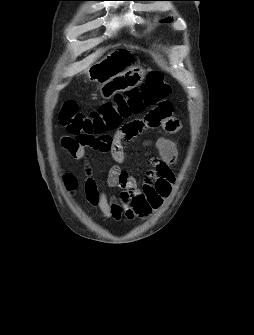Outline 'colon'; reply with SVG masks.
Returning <instances> with one entry per match:
<instances>
[{
  "label": "colon",
  "mask_w": 254,
  "mask_h": 335,
  "mask_svg": "<svg viewBox=\"0 0 254 335\" xmlns=\"http://www.w3.org/2000/svg\"><path fill=\"white\" fill-rule=\"evenodd\" d=\"M170 93L171 87L164 75L152 71L140 86L126 94H116L112 101L105 102L98 111L90 114L81 112L74 101H64L59 111V121L87 147L106 152L112 143L108 132L118 130V125L123 124V120L129 116L154 108L155 104H162V99Z\"/></svg>",
  "instance_id": "colon-1"
}]
</instances>
